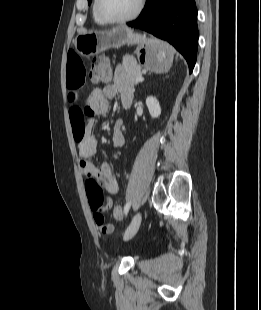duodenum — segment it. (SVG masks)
<instances>
[{"label":"duodenum","instance_id":"duodenum-1","mask_svg":"<svg viewBox=\"0 0 261 310\" xmlns=\"http://www.w3.org/2000/svg\"><path fill=\"white\" fill-rule=\"evenodd\" d=\"M131 102H132V99H130V98H123L122 99V105L124 108H129L131 106Z\"/></svg>","mask_w":261,"mask_h":310}]
</instances>
